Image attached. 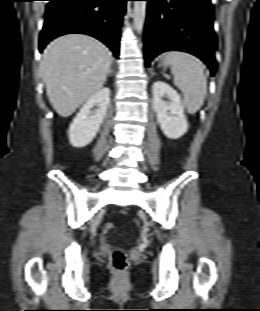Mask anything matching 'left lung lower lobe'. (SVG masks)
Segmentation results:
<instances>
[{
    "label": "left lung lower lobe",
    "mask_w": 260,
    "mask_h": 311,
    "mask_svg": "<svg viewBox=\"0 0 260 311\" xmlns=\"http://www.w3.org/2000/svg\"><path fill=\"white\" fill-rule=\"evenodd\" d=\"M148 1L145 26V64L165 51H183L216 71L213 7L211 0Z\"/></svg>",
    "instance_id": "obj_1"
}]
</instances>
